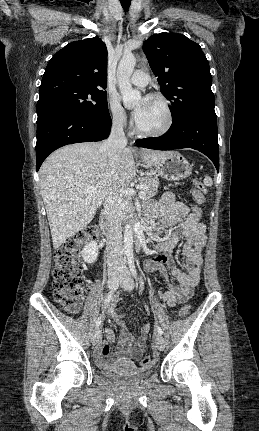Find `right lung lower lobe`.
I'll use <instances>...</instances> for the list:
<instances>
[{"label":"right lung lower lobe","mask_w":259,"mask_h":431,"mask_svg":"<svg viewBox=\"0 0 259 431\" xmlns=\"http://www.w3.org/2000/svg\"><path fill=\"white\" fill-rule=\"evenodd\" d=\"M111 117L58 109L37 119L36 170L54 150L73 143L101 141L111 130Z\"/></svg>","instance_id":"right-lung-lower-lobe-1"}]
</instances>
